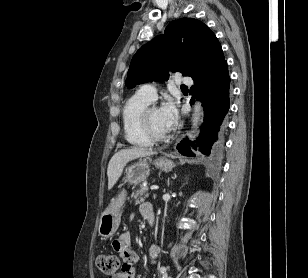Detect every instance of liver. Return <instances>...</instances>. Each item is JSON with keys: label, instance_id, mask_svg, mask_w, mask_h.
Returning a JSON list of instances; mask_svg holds the SVG:
<instances>
[{"label": "liver", "instance_id": "obj_1", "mask_svg": "<svg viewBox=\"0 0 308 278\" xmlns=\"http://www.w3.org/2000/svg\"><path fill=\"white\" fill-rule=\"evenodd\" d=\"M157 154L151 150L145 148L133 147L129 149H123L113 155L109 161L107 168L108 176V189L111 190L121 176L125 165L134 159L149 157Z\"/></svg>", "mask_w": 308, "mask_h": 278}]
</instances>
